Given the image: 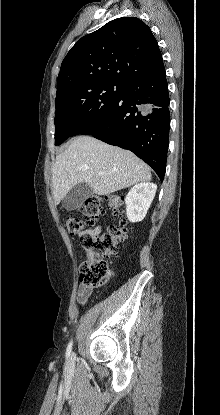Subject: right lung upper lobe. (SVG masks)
Returning a JSON list of instances; mask_svg holds the SVG:
<instances>
[{
    "label": "right lung upper lobe",
    "mask_w": 220,
    "mask_h": 415,
    "mask_svg": "<svg viewBox=\"0 0 220 415\" xmlns=\"http://www.w3.org/2000/svg\"><path fill=\"white\" fill-rule=\"evenodd\" d=\"M164 66L149 26L135 17L112 20L82 37L64 58L57 94L81 83H126Z\"/></svg>",
    "instance_id": "cb5924a9"
}]
</instances>
